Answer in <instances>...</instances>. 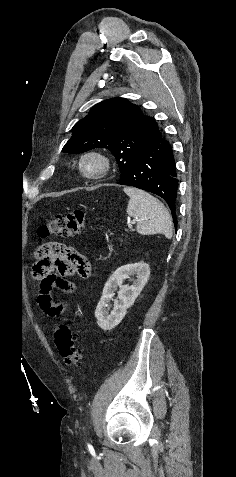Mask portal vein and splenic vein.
I'll return each instance as SVG.
<instances>
[{
	"mask_svg": "<svg viewBox=\"0 0 236 477\" xmlns=\"http://www.w3.org/2000/svg\"><path fill=\"white\" fill-rule=\"evenodd\" d=\"M135 222H136V220H132V221L130 222V225H131V224H134Z\"/></svg>",
	"mask_w": 236,
	"mask_h": 477,
	"instance_id": "1",
	"label": "portal vein and splenic vein"
}]
</instances>
